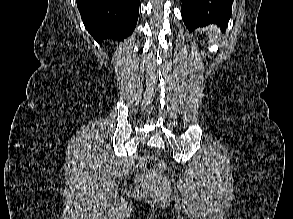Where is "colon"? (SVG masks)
<instances>
[{
    "label": "colon",
    "instance_id": "obj_1",
    "mask_svg": "<svg viewBox=\"0 0 293 219\" xmlns=\"http://www.w3.org/2000/svg\"><path fill=\"white\" fill-rule=\"evenodd\" d=\"M141 168L148 172H163L167 169L166 162L159 161L155 156L144 155L140 160ZM150 190L149 185L144 181H138L134 191L138 196L146 195Z\"/></svg>",
    "mask_w": 293,
    "mask_h": 219
}]
</instances>
